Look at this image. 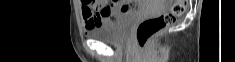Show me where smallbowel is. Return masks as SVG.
Returning a JSON list of instances; mask_svg holds the SVG:
<instances>
[{
    "label": "small bowel",
    "mask_w": 235,
    "mask_h": 62,
    "mask_svg": "<svg viewBox=\"0 0 235 62\" xmlns=\"http://www.w3.org/2000/svg\"><path fill=\"white\" fill-rule=\"evenodd\" d=\"M82 18L86 30L101 27L110 22L118 12H128L132 7L124 1L99 0L93 7L89 0L81 1Z\"/></svg>",
    "instance_id": "1"
}]
</instances>
